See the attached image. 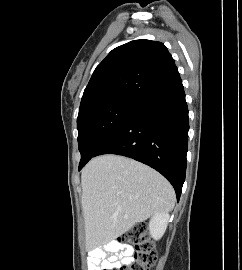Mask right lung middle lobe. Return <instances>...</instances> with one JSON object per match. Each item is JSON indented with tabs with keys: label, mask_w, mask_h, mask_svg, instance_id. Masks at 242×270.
<instances>
[{
	"label": "right lung middle lobe",
	"mask_w": 242,
	"mask_h": 270,
	"mask_svg": "<svg viewBox=\"0 0 242 270\" xmlns=\"http://www.w3.org/2000/svg\"><path fill=\"white\" fill-rule=\"evenodd\" d=\"M137 102L118 100L90 108L77 118L80 163L90 160Z\"/></svg>",
	"instance_id": "right-lung-middle-lobe-1"
}]
</instances>
